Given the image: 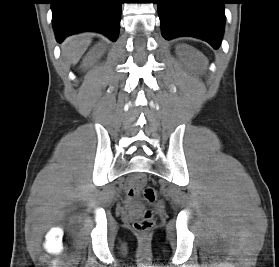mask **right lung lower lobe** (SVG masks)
Segmentation results:
<instances>
[{"instance_id": "right-lung-lower-lobe-1", "label": "right lung lower lobe", "mask_w": 279, "mask_h": 267, "mask_svg": "<svg viewBox=\"0 0 279 267\" xmlns=\"http://www.w3.org/2000/svg\"><path fill=\"white\" fill-rule=\"evenodd\" d=\"M56 39L96 31L116 41L121 18V0H51Z\"/></svg>"}]
</instances>
